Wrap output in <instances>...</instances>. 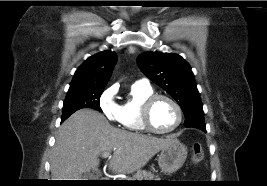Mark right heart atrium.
Masks as SVG:
<instances>
[{
	"label": "right heart atrium",
	"mask_w": 267,
	"mask_h": 186,
	"mask_svg": "<svg viewBox=\"0 0 267 186\" xmlns=\"http://www.w3.org/2000/svg\"><path fill=\"white\" fill-rule=\"evenodd\" d=\"M115 94L116 89L108 88L102 92L99 98V107L109 120H116L118 115V106L114 99Z\"/></svg>",
	"instance_id": "right-heart-atrium-1"
}]
</instances>
